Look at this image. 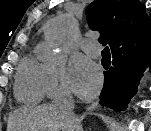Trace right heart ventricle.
<instances>
[{
    "instance_id": "obj_1",
    "label": "right heart ventricle",
    "mask_w": 151,
    "mask_h": 131,
    "mask_svg": "<svg viewBox=\"0 0 151 131\" xmlns=\"http://www.w3.org/2000/svg\"><path fill=\"white\" fill-rule=\"evenodd\" d=\"M14 93L16 98L24 104H37L43 99L45 88L41 66L32 57H26L21 62L15 81Z\"/></svg>"
}]
</instances>
